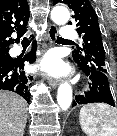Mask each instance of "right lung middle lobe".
<instances>
[{
	"label": "right lung middle lobe",
	"mask_w": 117,
	"mask_h": 136,
	"mask_svg": "<svg viewBox=\"0 0 117 136\" xmlns=\"http://www.w3.org/2000/svg\"><path fill=\"white\" fill-rule=\"evenodd\" d=\"M1 59L8 60V59H11V57L9 56L8 52H3V53H0V60Z\"/></svg>",
	"instance_id": "1"
}]
</instances>
